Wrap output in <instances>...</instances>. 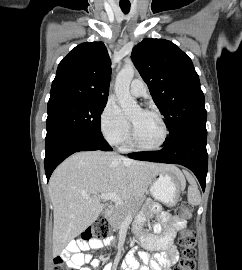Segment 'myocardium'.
<instances>
[{
  "label": "myocardium",
  "mask_w": 242,
  "mask_h": 270,
  "mask_svg": "<svg viewBox=\"0 0 242 270\" xmlns=\"http://www.w3.org/2000/svg\"><path fill=\"white\" fill-rule=\"evenodd\" d=\"M145 112L151 113L153 115H155L158 120L160 121V124L162 126V138L161 140L155 144V145H151V146H146V145H142L141 143L138 142L137 137H136V132H135V128L132 124V122L130 121V128H131V145L133 148L140 150V151H156L161 149L167 142L168 137H169V129L167 126V123L163 117V115L156 109H152V108H146V109H142Z\"/></svg>",
  "instance_id": "myocardium-1"
}]
</instances>
